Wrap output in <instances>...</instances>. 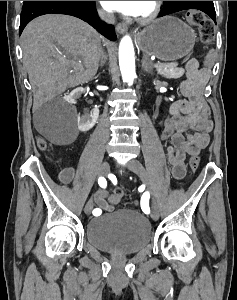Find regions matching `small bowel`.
Wrapping results in <instances>:
<instances>
[{"label":"small bowel","instance_id":"obj_1","mask_svg":"<svg viewBox=\"0 0 237 300\" xmlns=\"http://www.w3.org/2000/svg\"><path fill=\"white\" fill-rule=\"evenodd\" d=\"M184 70L186 79L179 83V89L185 99L173 102L169 108L170 116L159 123L161 140L169 142L167 157L176 179L184 178L186 156L198 154L205 148L213 129L210 108L205 101V90L211 70L209 67H200L195 59L187 61ZM59 180L63 184L74 182L78 188H89L91 185L89 180L77 179L76 171L72 167L62 169ZM90 201L96 204L100 211L114 209L108 189H98Z\"/></svg>","mask_w":237,"mask_h":300}]
</instances>
